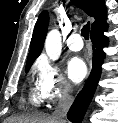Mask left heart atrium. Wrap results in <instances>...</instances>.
Segmentation results:
<instances>
[{
	"label": "left heart atrium",
	"instance_id": "39dd6f15",
	"mask_svg": "<svg viewBox=\"0 0 118 123\" xmlns=\"http://www.w3.org/2000/svg\"><path fill=\"white\" fill-rule=\"evenodd\" d=\"M67 74L74 83H80L87 75L85 62L79 57L71 58L67 63Z\"/></svg>",
	"mask_w": 118,
	"mask_h": 123
}]
</instances>
